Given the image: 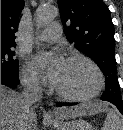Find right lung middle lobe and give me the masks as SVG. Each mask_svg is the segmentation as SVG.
<instances>
[{
	"instance_id": "obj_1",
	"label": "right lung middle lobe",
	"mask_w": 123,
	"mask_h": 130,
	"mask_svg": "<svg viewBox=\"0 0 123 130\" xmlns=\"http://www.w3.org/2000/svg\"><path fill=\"white\" fill-rule=\"evenodd\" d=\"M12 46H1V72L18 77V60Z\"/></svg>"
}]
</instances>
